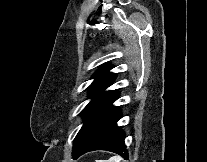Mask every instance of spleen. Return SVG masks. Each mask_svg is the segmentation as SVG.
<instances>
[{
  "label": "spleen",
  "instance_id": "obj_1",
  "mask_svg": "<svg viewBox=\"0 0 207 162\" xmlns=\"http://www.w3.org/2000/svg\"><path fill=\"white\" fill-rule=\"evenodd\" d=\"M122 157L120 156H114L111 157L109 160H96V162H121Z\"/></svg>",
  "mask_w": 207,
  "mask_h": 162
}]
</instances>
